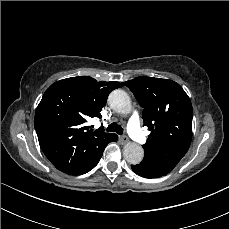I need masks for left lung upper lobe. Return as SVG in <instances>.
Here are the masks:
<instances>
[{"label":"left lung upper lobe","mask_w":229,"mask_h":229,"mask_svg":"<svg viewBox=\"0 0 229 229\" xmlns=\"http://www.w3.org/2000/svg\"><path fill=\"white\" fill-rule=\"evenodd\" d=\"M144 108V125L151 130L141 161L156 173L168 174L189 149L193 109L183 88L161 78L137 77L123 83Z\"/></svg>","instance_id":"1"}]
</instances>
